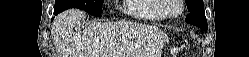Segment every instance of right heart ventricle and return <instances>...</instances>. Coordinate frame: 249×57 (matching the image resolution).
Instances as JSON below:
<instances>
[{
    "label": "right heart ventricle",
    "mask_w": 249,
    "mask_h": 57,
    "mask_svg": "<svg viewBox=\"0 0 249 57\" xmlns=\"http://www.w3.org/2000/svg\"><path fill=\"white\" fill-rule=\"evenodd\" d=\"M161 5V0H126L124 12L138 20L163 21L167 17L164 15Z\"/></svg>",
    "instance_id": "right-heart-ventricle-1"
}]
</instances>
